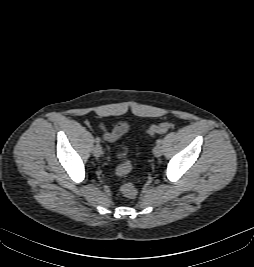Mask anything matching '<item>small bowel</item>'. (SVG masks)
Here are the masks:
<instances>
[{"mask_svg": "<svg viewBox=\"0 0 254 267\" xmlns=\"http://www.w3.org/2000/svg\"><path fill=\"white\" fill-rule=\"evenodd\" d=\"M100 129L102 130V138L105 141L114 142L127 134L130 130V126L126 122L117 124L111 131L101 124Z\"/></svg>", "mask_w": 254, "mask_h": 267, "instance_id": "obj_1", "label": "small bowel"}]
</instances>
